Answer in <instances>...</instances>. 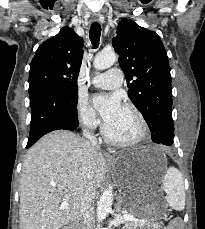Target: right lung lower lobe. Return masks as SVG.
<instances>
[{"instance_id": "obj_1", "label": "right lung lower lobe", "mask_w": 205, "mask_h": 229, "mask_svg": "<svg viewBox=\"0 0 205 229\" xmlns=\"http://www.w3.org/2000/svg\"><path fill=\"white\" fill-rule=\"evenodd\" d=\"M77 98L64 89H48L30 97L31 123L26 148L44 134L58 130H75L78 126Z\"/></svg>"}]
</instances>
